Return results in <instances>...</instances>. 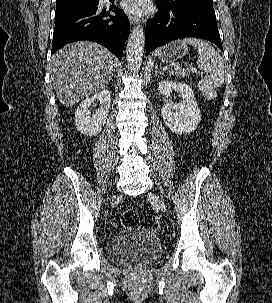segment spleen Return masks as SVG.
I'll return each instance as SVG.
<instances>
[{
	"label": "spleen",
	"instance_id": "obj_1",
	"mask_svg": "<svg viewBox=\"0 0 272 303\" xmlns=\"http://www.w3.org/2000/svg\"><path fill=\"white\" fill-rule=\"evenodd\" d=\"M190 44L198 51L197 65L205 72V77L198 82V88L207 100L217 96V89L224 83L226 63L217 51L207 42L197 38H186L181 41Z\"/></svg>",
	"mask_w": 272,
	"mask_h": 303
}]
</instances>
